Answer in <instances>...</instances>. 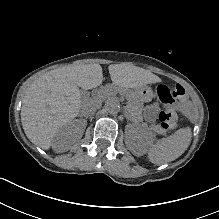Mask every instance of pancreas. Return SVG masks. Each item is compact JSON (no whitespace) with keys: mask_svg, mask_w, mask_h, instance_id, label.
Listing matches in <instances>:
<instances>
[{"mask_svg":"<svg viewBox=\"0 0 219 219\" xmlns=\"http://www.w3.org/2000/svg\"><path fill=\"white\" fill-rule=\"evenodd\" d=\"M104 95L111 96V98L119 97L121 99H127V115L130 120H139L142 117L141 104L142 99L136 96L135 91L131 89H126L125 87H117L115 85H107L104 88ZM150 130L159 131L158 126H151Z\"/></svg>","mask_w":219,"mask_h":219,"instance_id":"1","label":"pancreas"}]
</instances>
